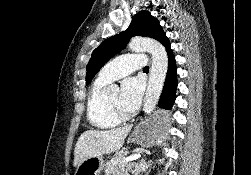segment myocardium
I'll return each instance as SVG.
<instances>
[{
    "label": "myocardium",
    "instance_id": "f54148a6",
    "mask_svg": "<svg viewBox=\"0 0 251 175\" xmlns=\"http://www.w3.org/2000/svg\"><path fill=\"white\" fill-rule=\"evenodd\" d=\"M106 103H107V107H108V109H109V111L114 115V116H116V117H120V116H122V111L121 110H115L112 106H111V104H110V102L108 101V99L106 100Z\"/></svg>",
    "mask_w": 251,
    "mask_h": 175
}]
</instances>
